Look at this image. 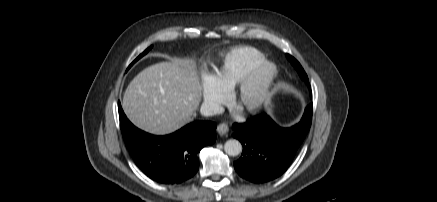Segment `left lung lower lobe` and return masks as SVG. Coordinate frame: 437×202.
I'll return each mask as SVG.
<instances>
[{
	"label": "left lung lower lobe",
	"instance_id": "1",
	"mask_svg": "<svg viewBox=\"0 0 437 202\" xmlns=\"http://www.w3.org/2000/svg\"><path fill=\"white\" fill-rule=\"evenodd\" d=\"M312 121V103L296 125L278 126L267 114L233 124V137L242 146V156L234 163L236 172L253 183L271 181L290 166L298 148L307 135Z\"/></svg>",
	"mask_w": 437,
	"mask_h": 202
}]
</instances>
